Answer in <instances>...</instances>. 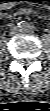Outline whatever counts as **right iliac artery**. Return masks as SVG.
Instances as JSON below:
<instances>
[{
  "instance_id": "right-iliac-artery-1",
  "label": "right iliac artery",
  "mask_w": 50,
  "mask_h": 111,
  "mask_svg": "<svg viewBox=\"0 0 50 111\" xmlns=\"http://www.w3.org/2000/svg\"><path fill=\"white\" fill-rule=\"evenodd\" d=\"M18 27L21 29H26L28 27V24L25 21H22L18 23Z\"/></svg>"
}]
</instances>
